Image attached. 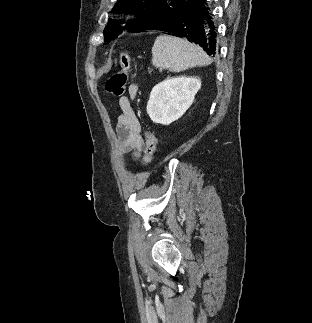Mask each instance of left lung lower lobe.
Listing matches in <instances>:
<instances>
[{
    "label": "left lung lower lobe",
    "mask_w": 312,
    "mask_h": 323,
    "mask_svg": "<svg viewBox=\"0 0 312 323\" xmlns=\"http://www.w3.org/2000/svg\"><path fill=\"white\" fill-rule=\"evenodd\" d=\"M170 9L171 11L153 30L185 37L190 42L200 44L210 56L215 57L219 51L213 2L174 0Z\"/></svg>",
    "instance_id": "left-lung-lower-lobe-1"
}]
</instances>
